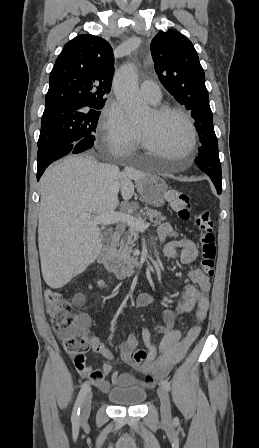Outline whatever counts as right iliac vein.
I'll return each mask as SVG.
<instances>
[{
    "label": "right iliac vein",
    "instance_id": "1",
    "mask_svg": "<svg viewBox=\"0 0 259 448\" xmlns=\"http://www.w3.org/2000/svg\"><path fill=\"white\" fill-rule=\"evenodd\" d=\"M92 392L89 391L87 392V394L85 395V398L83 399V403H82V407H81V415H80V420L82 423L87 422L89 415H90V411H91V401H92Z\"/></svg>",
    "mask_w": 259,
    "mask_h": 448
}]
</instances>
